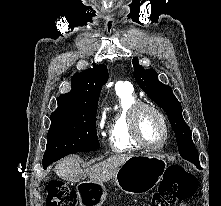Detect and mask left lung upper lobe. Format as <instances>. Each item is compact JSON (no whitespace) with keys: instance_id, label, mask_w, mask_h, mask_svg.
<instances>
[{"instance_id":"obj_1","label":"left lung upper lobe","mask_w":221,"mask_h":206,"mask_svg":"<svg viewBox=\"0 0 221 206\" xmlns=\"http://www.w3.org/2000/svg\"><path fill=\"white\" fill-rule=\"evenodd\" d=\"M134 78L145 93L153 99L168 115L169 122L175 132L180 155L199 165V156L191 138L189 126L182 116L181 104L174 96L170 86L161 83L154 70H146L139 65L138 58L132 60Z\"/></svg>"}]
</instances>
